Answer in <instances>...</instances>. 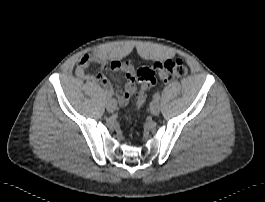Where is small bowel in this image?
<instances>
[{
    "label": "small bowel",
    "mask_w": 265,
    "mask_h": 202,
    "mask_svg": "<svg viewBox=\"0 0 265 202\" xmlns=\"http://www.w3.org/2000/svg\"><path fill=\"white\" fill-rule=\"evenodd\" d=\"M97 65L102 70H112L125 76L126 83L123 88L112 83L104 73L91 74L87 70L90 66ZM77 76L91 82L102 85L110 96L118 99L121 105H125L136 92L135 74L133 66L129 62L109 60L101 53H86L82 55L75 68Z\"/></svg>",
    "instance_id": "1"
}]
</instances>
